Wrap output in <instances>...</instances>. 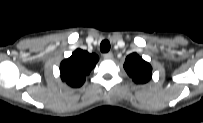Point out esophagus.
<instances>
[{"instance_id":"1","label":"esophagus","mask_w":203,"mask_h":123,"mask_svg":"<svg viewBox=\"0 0 203 123\" xmlns=\"http://www.w3.org/2000/svg\"><path fill=\"white\" fill-rule=\"evenodd\" d=\"M103 58L106 60H110L113 58V54L111 52L103 54Z\"/></svg>"}]
</instances>
